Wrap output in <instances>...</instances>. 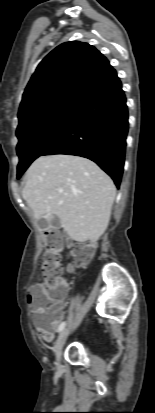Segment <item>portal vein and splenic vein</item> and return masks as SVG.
Returning a JSON list of instances; mask_svg holds the SVG:
<instances>
[{
  "instance_id": "portal-vein-and-splenic-vein-1",
  "label": "portal vein and splenic vein",
  "mask_w": 155,
  "mask_h": 413,
  "mask_svg": "<svg viewBox=\"0 0 155 413\" xmlns=\"http://www.w3.org/2000/svg\"><path fill=\"white\" fill-rule=\"evenodd\" d=\"M59 193H63V190L60 189V190H59Z\"/></svg>"
}]
</instances>
